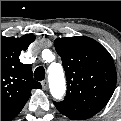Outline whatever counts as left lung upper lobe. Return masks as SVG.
Instances as JSON below:
<instances>
[{
	"label": "left lung upper lobe",
	"instance_id": "1",
	"mask_svg": "<svg viewBox=\"0 0 121 121\" xmlns=\"http://www.w3.org/2000/svg\"><path fill=\"white\" fill-rule=\"evenodd\" d=\"M66 72L67 93L56 108L71 119H86L99 112L111 98L116 69L110 53L97 41L76 36L54 41Z\"/></svg>",
	"mask_w": 121,
	"mask_h": 121
}]
</instances>
